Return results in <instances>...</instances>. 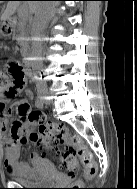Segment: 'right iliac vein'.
I'll return each instance as SVG.
<instances>
[{
  "label": "right iliac vein",
  "instance_id": "obj_1",
  "mask_svg": "<svg viewBox=\"0 0 137 189\" xmlns=\"http://www.w3.org/2000/svg\"><path fill=\"white\" fill-rule=\"evenodd\" d=\"M39 95H40V98L44 99L48 104L51 103V99H50L47 89L40 91Z\"/></svg>",
  "mask_w": 137,
  "mask_h": 189
}]
</instances>
